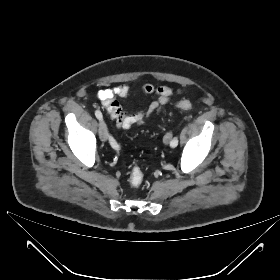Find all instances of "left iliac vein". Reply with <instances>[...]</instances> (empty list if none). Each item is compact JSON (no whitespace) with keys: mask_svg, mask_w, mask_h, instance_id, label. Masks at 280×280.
Wrapping results in <instances>:
<instances>
[{"mask_svg":"<svg viewBox=\"0 0 280 280\" xmlns=\"http://www.w3.org/2000/svg\"><path fill=\"white\" fill-rule=\"evenodd\" d=\"M172 132H167L166 134H165V136H164V138H163V142L165 143V144H169L170 143V141H171V139H172Z\"/></svg>","mask_w":280,"mask_h":280,"instance_id":"4c4485c4","label":"left iliac vein"}]
</instances>
